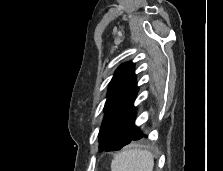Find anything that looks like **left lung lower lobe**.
<instances>
[{
  "instance_id": "0a47b994",
  "label": "left lung lower lobe",
  "mask_w": 223,
  "mask_h": 171,
  "mask_svg": "<svg viewBox=\"0 0 223 171\" xmlns=\"http://www.w3.org/2000/svg\"><path fill=\"white\" fill-rule=\"evenodd\" d=\"M136 111L134 107L129 111V113L124 117V119L119 123L117 128L113 131L109 139L103 144L100 150L115 151L119 150L125 145L130 144L132 141L139 140L144 135L140 129L135 125Z\"/></svg>"
}]
</instances>
